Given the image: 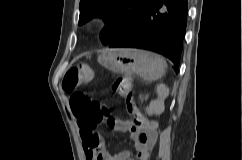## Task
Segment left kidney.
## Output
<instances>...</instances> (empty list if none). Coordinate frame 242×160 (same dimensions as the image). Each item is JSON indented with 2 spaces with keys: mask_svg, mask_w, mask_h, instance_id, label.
Returning <instances> with one entry per match:
<instances>
[{
  "mask_svg": "<svg viewBox=\"0 0 242 160\" xmlns=\"http://www.w3.org/2000/svg\"><path fill=\"white\" fill-rule=\"evenodd\" d=\"M162 98L152 101L150 103V107L148 109V113L152 114L154 112L156 113H161L164 110V98H165V94L161 93Z\"/></svg>",
  "mask_w": 242,
  "mask_h": 160,
  "instance_id": "left-kidney-1",
  "label": "left kidney"
}]
</instances>
